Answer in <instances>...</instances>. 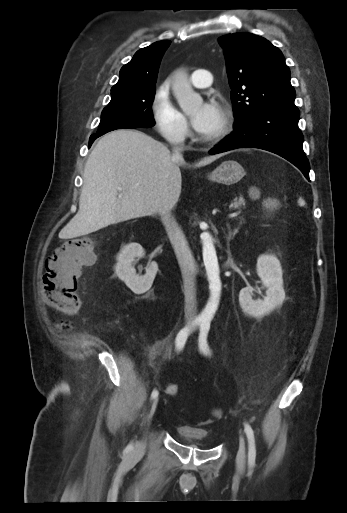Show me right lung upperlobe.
<instances>
[{
  "instance_id": "1",
  "label": "right lung upper lobe",
  "mask_w": 347,
  "mask_h": 513,
  "mask_svg": "<svg viewBox=\"0 0 347 513\" xmlns=\"http://www.w3.org/2000/svg\"><path fill=\"white\" fill-rule=\"evenodd\" d=\"M170 43L169 40H162L138 50L132 60L121 68L119 80L111 91L155 86L161 59Z\"/></svg>"
}]
</instances>
